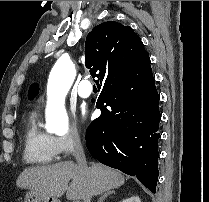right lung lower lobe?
<instances>
[{"mask_svg": "<svg viewBox=\"0 0 209 202\" xmlns=\"http://www.w3.org/2000/svg\"><path fill=\"white\" fill-rule=\"evenodd\" d=\"M158 102L151 67L144 77L122 88H102L96 103L101 115L85 137L94 158L136 176L153 193L158 179Z\"/></svg>", "mask_w": 209, "mask_h": 202, "instance_id": "98d812e1", "label": "right lung lower lobe"}]
</instances>
